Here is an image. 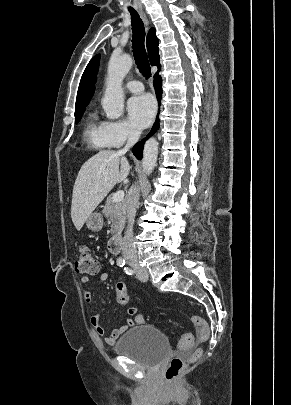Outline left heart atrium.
I'll use <instances>...</instances> for the list:
<instances>
[{
	"mask_svg": "<svg viewBox=\"0 0 291 405\" xmlns=\"http://www.w3.org/2000/svg\"><path fill=\"white\" fill-rule=\"evenodd\" d=\"M155 102L150 95L132 97L127 104L130 122L138 129L148 126L155 115Z\"/></svg>",
	"mask_w": 291,
	"mask_h": 405,
	"instance_id": "obj_1",
	"label": "left heart atrium"
}]
</instances>
